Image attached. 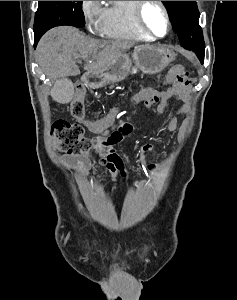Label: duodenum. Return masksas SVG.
I'll list each match as a JSON object with an SVG mask.
<instances>
[{
    "instance_id": "duodenum-1",
    "label": "duodenum",
    "mask_w": 237,
    "mask_h": 300,
    "mask_svg": "<svg viewBox=\"0 0 237 300\" xmlns=\"http://www.w3.org/2000/svg\"><path fill=\"white\" fill-rule=\"evenodd\" d=\"M100 73L96 70H91L83 75V82L89 88H96L99 85Z\"/></svg>"
}]
</instances>
